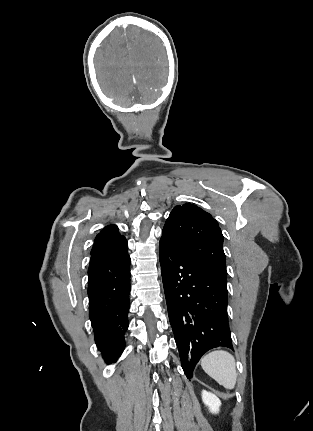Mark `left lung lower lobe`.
<instances>
[{"label": "left lung lower lobe", "instance_id": "1", "mask_svg": "<svg viewBox=\"0 0 313 431\" xmlns=\"http://www.w3.org/2000/svg\"><path fill=\"white\" fill-rule=\"evenodd\" d=\"M159 258L170 324L188 379L210 349H233L226 279L160 239Z\"/></svg>", "mask_w": 313, "mask_h": 431}]
</instances>
